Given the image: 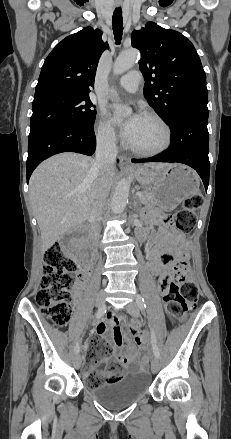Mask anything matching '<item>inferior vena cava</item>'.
<instances>
[{
    "instance_id": "obj_1",
    "label": "inferior vena cava",
    "mask_w": 231,
    "mask_h": 439,
    "mask_svg": "<svg viewBox=\"0 0 231 439\" xmlns=\"http://www.w3.org/2000/svg\"><path fill=\"white\" fill-rule=\"evenodd\" d=\"M116 155L117 147L113 137L106 136L98 139L95 162L93 164V169L98 172V188L90 214L95 237H99V221L109 195V175L114 168L113 165L116 160Z\"/></svg>"
}]
</instances>
